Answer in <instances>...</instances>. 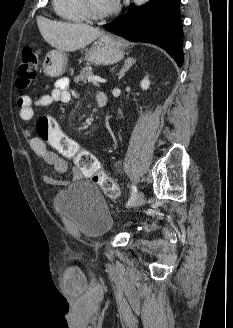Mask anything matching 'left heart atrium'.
Here are the masks:
<instances>
[{
	"label": "left heart atrium",
	"mask_w": 233,
	"mask_h": 328,
	"mask_svg": "<svg viewBox=\"0 0 233 328\" xmlns=\"http://www.w3.org/2000/svg\"><path fill=\"white\" fill-rule=\"evenodd\" d=\"M113 3H116L118 0H111Z\"/></svg>",
	"instance_id": "obj_1"
}]
</instances>
